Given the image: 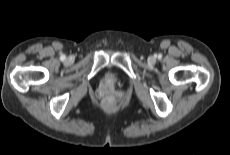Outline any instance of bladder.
<instances>
[{"label": "bladder", "mask_w": 230, "mask_h": 155, "mask_svg": "<svg viewBox=\"0 0 230 155\" xmlns=\"http://www.w3.org/2000/svg\"><path fill=\"white\" fill-rule=\"evenodd\" d=\"M110 83H114L115 82V79L113 78V77H108V79H107Z\"/></svg>", "instance_id": "31cf9c89"}]
</instances>
